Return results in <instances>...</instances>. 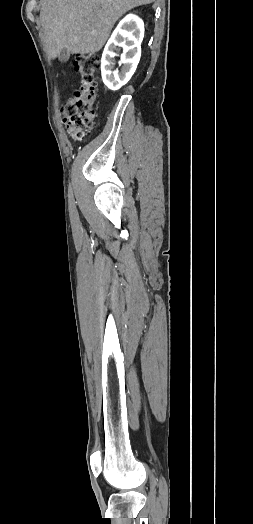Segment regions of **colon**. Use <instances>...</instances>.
Wrapping results in <instances>:
<instances>
[{
    "label": "colon",
    "mask_w": 253,
    "mask_h": 524,
    "mask_svg": "<svg viewBox=\"0 0 253 524\" xmlns=\"http://www.w3.org/2000/svg\"><path fill=\"white\" fill-rule=\"evenodd\" d=\"M99 65L98 54L80 55L75 59V68L81 76V82L62 107L61 120L76 141L82 140L94 123L96 72Z\"/></svg>",
    "instance_id": "colon-1"
}]
</instances>
